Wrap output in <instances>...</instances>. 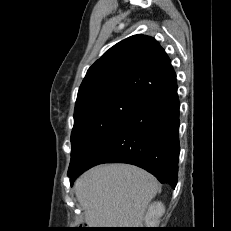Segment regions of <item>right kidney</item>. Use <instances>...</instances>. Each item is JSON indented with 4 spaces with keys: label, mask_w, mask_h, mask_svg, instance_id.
Masks as SVG:
<instances>
[{
    "label": "right kidney",
    "mask_w": 231,
    "mask_h": 231,
    "mask_svg": "<svg viewBox=\"0 0 231 231\" xmlns=\"http://www.w3.org/2000/svg\"><path fill=\"white\" fill-rule=\"evenodd\" d=\"M165 207L161 202H154L149 206L145 222L149 227H157L160 217L164 214Z\"/></svg>",
    "instance_id": "1"
}]
</instances>
